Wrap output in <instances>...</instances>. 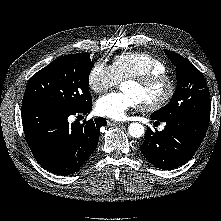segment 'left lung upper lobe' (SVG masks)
<instances>
[{"label": "left lung upper lobe", "mask_w": 221, "mask_h": 221, "mask_svg": "<svg viewBox=\"0 0 221 221\" xmlns=\"http://www.w3.org/2000/svg\"><path fill=\"white\" fill-rule=\"evenodd\" d=\"M164 51L176 65L177 91L169 104L152 115L159 119L210 117V94L202 73L181 55L166 49Z\"/></svg>", "instance_id": "obj_1"}]
</instances>
